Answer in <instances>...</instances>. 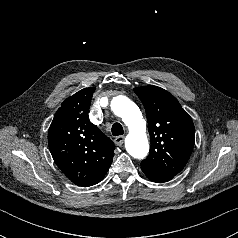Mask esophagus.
<instances>
[{"label":"esophagus","mask_w":238,"mask_h":238,"mask_svg":"<svg viewBox=\"0 0 238 238\" xmlns=\"http://www.w3.org/2000/svg\"><path fill=\"white\" fill-rule=\"evenodd\" d=\"M114 143L116 146H122L124 143V136H117L114 139Z\"/></svg>","instance_id":"34e87169"}]
</instances>
